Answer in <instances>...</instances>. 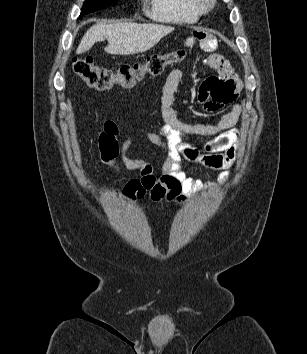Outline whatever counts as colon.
Listing matches in <instances>:
<instances>
[{
	"instance_id": "5ec220e1",
	"label": "colon",
	"mask_w": 307,
	"mask_h": 354,
	"mask_svg": "<svg viewBox=\"0 0 307 354\" xmlns=\"http://www.w3.org/2000/svg\"><path fill=\"white\" fill-rule=\"evenodd\" d=\"M185 57V51L178 49L166 54L151 55L142 63L125 65L117 70L99 66L91 58L86 57L74 59L72 68L74 73L91 88L106 90L114 85L131 88L146 76L159 75L167 66L179 63Z\"/></svg>"
}]
</instances>
